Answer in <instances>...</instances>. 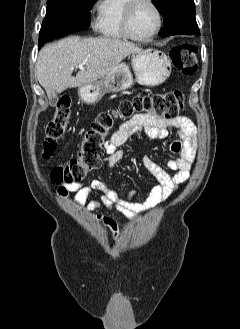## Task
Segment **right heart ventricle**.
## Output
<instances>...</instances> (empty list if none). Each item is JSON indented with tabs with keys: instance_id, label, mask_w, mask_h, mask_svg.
Wrapping results in <instances>:
<instances>
[{
	"instance_id": "obj_1",
	"label": "right heart ventricle",
	"mask_w": 240,
	"mask_h": 329,
	"mask_svg": "<svg viewBox=\"0 0 240 329\" xmlns=\"http://www.w3.org/2000/svg\"><path fill=\"white\" fill-rule=\"evenodd\" d=\"M129 0H101L98 4L96 30L105 38L115 41L128 39L122 27L125 6Z\"/></svg>"
}]
</instances>
